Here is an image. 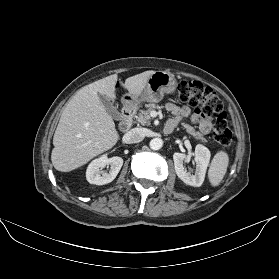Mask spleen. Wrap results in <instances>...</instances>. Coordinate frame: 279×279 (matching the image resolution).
Returning <instances> with one entry per match:
<instances>
[{
    "instance_id": "spleen-1",
    "label": "spleen",
    "mask_w": 279,
    "mask_h": 279,
    "mask_svg": "<svg viewBox=\"0 0 279 279\" xmlns=\"http://www.w3.org/2000/svg\"><path fill=\"white\" fill-rule=\"evenodd\" d=\"M228 163L229 157L226 152L219 151L216 153L208 171V178L212 186L215 187L220 184L226 174Z\"/></svg>"
}]
</instances>
